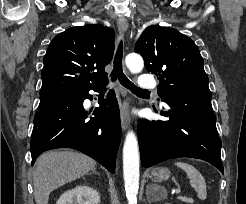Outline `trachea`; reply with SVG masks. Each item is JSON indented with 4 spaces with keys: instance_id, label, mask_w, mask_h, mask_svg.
<instances>
[{
    "instance_id": "obj_1",
    "label": "trachea",
    "mask_w": 246,
    "mask_h": 204,
    "mask_svg": "<svg viewBox=\"0 0 246 204\" xmlns=\"http://www.w3.org/2000/svg\"><path fill=\"white\" fill-rule=\"evenodd\" d=\"M122 42L119 43L115 58H114V70L111 74L112 81L116 79L126 88L130 89L135 94L149 93L148 90H143L134 85L122 71Z\"/></svg>"
}]
</instances>
